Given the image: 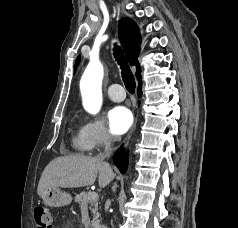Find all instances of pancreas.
<instances>
[{
	"label": "pancreas",
	"instance_id": "cf45deb5",
	"mask_svg": "<svg viewBox=\"0 0 238 228\" xmlns=\"http://www.w3.org/2000/svg\"><path fill=\"white\" fill-rule=\"evenodd\" d=\"M91 192H81L75 196V201L81 207H87L90 205L91 213L93 214V219L91 221L92 228H100V219L98 212V203L97 200L89 199V195Z\"/></svg>",
	"mask_w": 238,
	"mask_h": 228
}]
</instances>
